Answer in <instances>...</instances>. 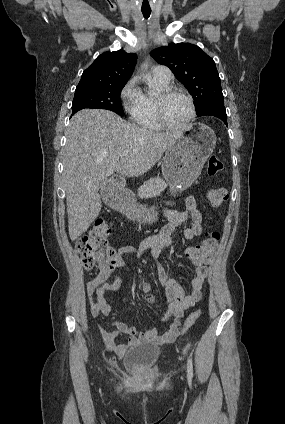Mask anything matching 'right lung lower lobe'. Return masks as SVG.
I'll list each match as a JSON object with an SVG mask.
<instances>
[{
	"mask_svg": "<svg viewBox=\"0 0 285 424\" xmlns=\"http://www.w3.org/2000/svg\"><path fill=\"white\" fill-rule=\"evenodd\" d=\"M75 113H76V112H73V111H72V115H73V114H75ZM72 115H71V116H72Z\"/></svg>",
	"mask_w": 285,
	"mask_h": 424,
	"instance_id": "98d812e1",
	"label": "right lung lower lobe"
}]
</instances>
